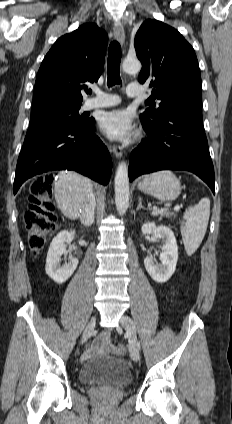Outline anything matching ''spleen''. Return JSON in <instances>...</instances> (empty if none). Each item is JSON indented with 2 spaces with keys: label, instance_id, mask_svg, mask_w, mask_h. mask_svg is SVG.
Instances as JSON below:
<instances>
[{
  "label": "spleen",
  "instance_id": "obj_1",
  "mask_svg": "<svg viewBox=\"0 0 232 424\" xmlns=\"http://www.w3.org/2000/svg\"><path fill=\"white\" fill-rule=\"evenodd\" d=\"M210 217V200L204 197L197 205L189 206L181 223V235L186 254L191 256L200 246Z\"/></svg>",
  "mask_w": 232,
  "mask_h": 424
}]
</instances>
